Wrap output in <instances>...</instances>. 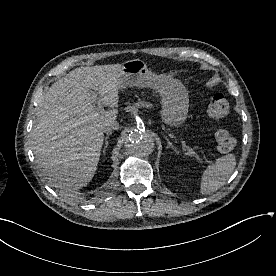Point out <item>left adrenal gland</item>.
Returning a JSON list of instances; mask_svg holds the SVG:
<instances>
[{"label": "left adrenal gland", "mask_w": 276, "mask_h": 276, "mask_svg": "<svg viewBox=\"0 0 276 276\" xmlns=\"http://www.w3.org/2000/svg\"><path fill=\"white\" fill-rule=\"evenodd\" d=\"M165 139L168 143V148H172L176 153H178L176 148L172 145V143L169 141V139L166 136H165Z\"/></svg>", "instance_id": "1"}]
</instances>
